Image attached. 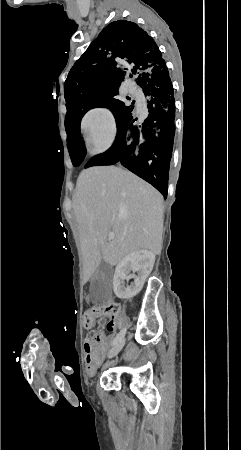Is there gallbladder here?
Listing matches in <instances>:
<instances>
[{
    "instance_id": "bac80fb5",
    "label": "gallbladder",
    "mask_w": 241,
    "mask_h": 450,
    "mask_svg": "<svg viewBox=\"0 0 241 450\" xmlns=\"http://www.w3.org/2000/svg\"><path fill=\"white\" fill-rule=\"evenodd\" d=\"M109 264L101 260V264L98 268L97 278L92 280L91 282V302L97 306L102 304L109 305L112 302V299L109 295L112 293L111 282L113 281V276L111 272L108 270ZM102 279V281H101Z\"/></svg>"
}]
</instances>
